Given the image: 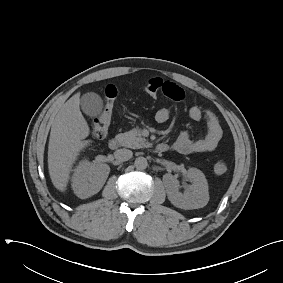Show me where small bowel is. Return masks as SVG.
Returning <instances> with one entry per match:
<instances>
[{
	"label": "small bowel",
	"mask_w": 283,
	"mask_h": 283,
	"mask_svg": "<svg viewBox=\"0 0 283 283\" xmlns=\"http://www.w3.org/2000/svg\"><path fill=\"white\" fill-rule=\"evenodd\" d=\"M161 93L167 98L174 101H181L185 97L184 90L171 81H163ZM188 115L191 119L206 123V133L196 139H193L188 131H183L177 137L176 141L168 146V150H173L182 154L205 153L213 151L222 137V129L217 116L210 110L193 106L189 109ZM170 117V112L166 108H160L155 119L158 123H165Z\"/></svg>",
	"instance_id": "1"
}]
</instances>
